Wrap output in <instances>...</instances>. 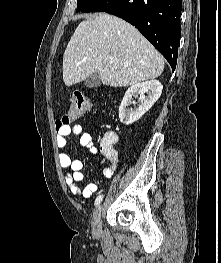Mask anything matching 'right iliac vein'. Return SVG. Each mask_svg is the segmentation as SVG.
I'll use <instances>...</instances> for the list:
<instances>
[{
	"mask_svg": "<svg viewBox=\"0 0 221 263\" xmlns=\"http://www.w3.org/2000/svg\"><path fill=\"white\" fill-rule=\"evenodd\" d=\"M101 213H102V206L98 205L93 214L92 220V230L94 233H98L101 226Z\"/></svg>",
	"mask_w": 221,
	"mask_h": 263,
	"instance_id": "right-iliac-vein-1",
	"label": "right iliac vein"
}]
</instances>
